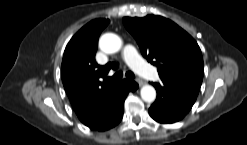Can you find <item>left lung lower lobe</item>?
Wrapping results in <instances>:
<instances>
[{
	"label": "left lung lower lobe",
	"mask_w": 247,
	"mask_h": 145,
	"mask_svg": "<svg viewBox=\"0 0 247 145\" xmlns=\"http://www.w3.org/2000/svg\"><path fill=\"white\" fill-rule=\"evenodd\" d=\"M152 84L156 88L157 98L149 108V114L155 121L163 124L181 120L190 111L198 95L166 80H162L160 84Z\"/></svg>",
	"instance_id": "1"
}]
</instances>
